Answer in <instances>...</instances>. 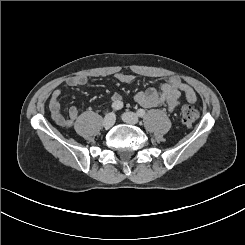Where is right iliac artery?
Returning a JSON list of instances; mask_svg holds the SVG:
<instances>
[{"label":"right iliac artery","instance_id":"1","mask_svg":"<svg viewBox=\"0 0 245 245\" xmlns=\"http://www.w3.org/2000/svg\"><path fill=\"white\" fill-rule=\"evenodd\" d=\"M113 110H120L123 108V103L121 101H115L112 103Z\"/></svg>","mask_w":245,"mask_h":245}]
</instances>
